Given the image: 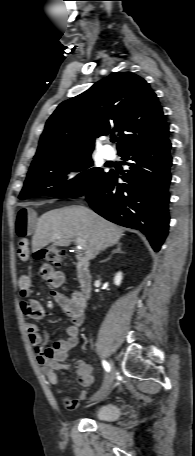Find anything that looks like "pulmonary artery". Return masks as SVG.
<instances>
[{
    "mask_svg": "<svg viewBox=\"0 0 195 456\" xmlns=\"http://www.w3.org/2000/svg\"><path fill=\"white\" fill-rule=\"evenodd\" d=\"M102 154L106 159H112L114 157V150L109 145H104L102 147Z\"/></svg>",
    "mask_w": 195,
    "mask_h": 456,
    "instance_id": "e3ab8cb5",
    "label": "pulmonary artery"
}]
</instances>
